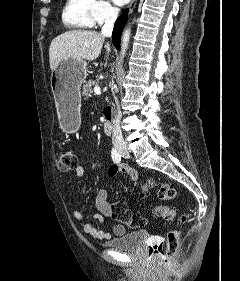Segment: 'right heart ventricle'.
Returning <instances> with one entry per match:
<instances>
[{
	"mask_svg": "<svg viewBox=\"0 0 240 281\" xmlns=\"http://www.w3.org/2000/svg\"><path fill=\"white\" fill-rule=\"evenodd\" d=\"M94 0H66L62 10V21L73 30L91 28L95 24Z\"/></svg>",
	"mask_w": 240,
	"mask_h": 281,
	"instance_id": "obj_1",
	"label": "right heart ventricle"
}]
</instances>
